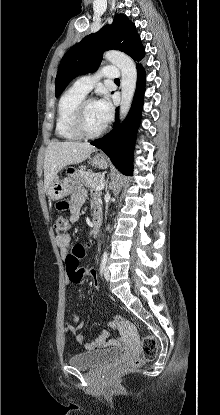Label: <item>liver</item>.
Listing matches in <instances>:
<instances>
[{
    "label": "liver",
    "mask_w": 220,
    "mask_h": 415,
    "mask_svg": "<svg viewBox=\"0 0 220 415\" xmlns=\"http://www.w3.org/2000/svg\"><path fill=\"white\" fill-rule=\"evenodd\" d=\"M95 151L96 148L89 143L51 142L44 159V189L47 191L59 171L65 166L81 163Z\"/></svg>",
    "instance_id": "6515ba94"
}]
</instances>
